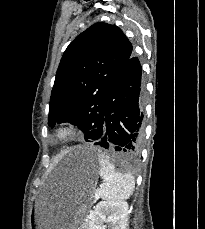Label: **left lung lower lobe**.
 I'll use <instances>...</instances> for the list:
<instances>
[{"mask_svg": "<svg viewBox=\"0 0 205 229\" xmlns=\"http://www.w3.org/2000/svg\"><path fill=\"white\" fill-rule=\"evenodd\" d=\"M142 69L131 56L111 87L103 121L89 139L94 145L120 151L127 160L140 153L143 136Z\"/></svg>", "mask_w": 205, "mask_h": 229, "instance_id": "left-lung-lower-lobe-1", "label": "left lung lower lobe"}]
</instances>
